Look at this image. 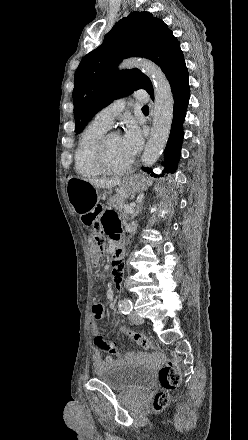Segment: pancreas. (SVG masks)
<instances>
[{"instance_id": "cf45deb5", "label": "pancreas", "mask_w": 248, "mask_h": 440, "mask_svg": "<svg viewBox=\"0 0 248 440\" xmlns=\"http://www.w3.org/2000/svg\"><path fill=\"white\" fill-rule=\"evenodd\" d=\"M123 201H124V200H123V198H122L121 196H116V197H113V198H110V199H109V202H110L111 204L115 205L116 209L119 211L120 216H121L123 219L128 220L130 214L127 213V212L124 210Z\"/></svg>"}]
</instances>
